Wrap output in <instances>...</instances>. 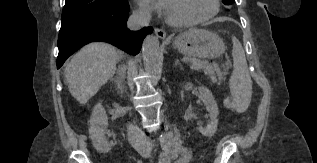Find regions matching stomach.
<instances>
[{
  "instance_id": "0dacf381",
  "label": "stomach",
  "mask_w": 317,
  "mask_h": 163,
  "mask_svg": "<svg viewBox=\"0 0 317 163\" xmlns=\"http://www.w3.org/2000/svg\"><path fill=\"white\" fill-rule=\"evenodd\" d=\"M173 45L181 53L197 58H216L225 50L224 42L217 34L195 28L179 34Z\"/></svg>"
}]
</instances>
